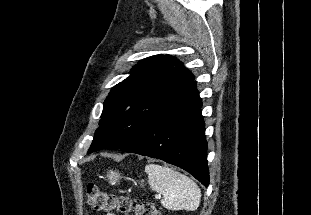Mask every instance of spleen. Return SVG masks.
Here are the masks:
<instances>
[{
  "mask_svg": "<svg viewBox=\"0 0 311 215\" xmlns=\"http://www.w3.org/2000/svg\"><path fill=\"white\" fill-rule=\"evenodd\" d=\"M152 190L163 195L161 204L168 210L194 211L199 207L201 190L188 176L166 166L145 167Z\"/></svg>",
  "mask_w": 311,
  "mask_h": 215,
  "instance_id": "1",
  "label": "spleen"
}]
</instances>
